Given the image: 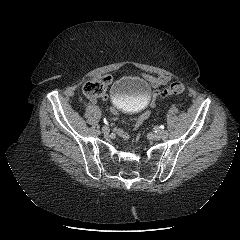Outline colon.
I'll list each match as a JSON object with an SVG mask.
<instances>
[{
	"mask_svg": "<svg viewBox=\"0 0 240 240\" xmlns=\"http://www.w3.org/2000/svg\"><path fill=\"white\" fill-rule=\"evenodd\" d=\"M106 79L97 78L88 81L84 87L83 92L89 98H99L102 93H105L106 90ZM185 91V87L180 82H173L167 88L162 90L159 94L161 98H166L170 95L181 94Z\"/></svg>",
	"mask_w": 240,
	"mask_h": 240,
	"instance_id": "colon-1",
	"label": "colon"
}]
</instances>
